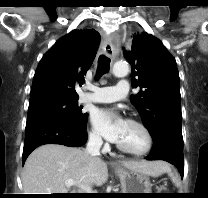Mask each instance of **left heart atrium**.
<instances>
[{"label": "left heart atrium", "instance_id": "obj_1", "mask_svg": "<svg viewBox=\"0 0 208 198\" xmlns=\"http://www.w3.org/2000/svg\"><path fill=\"white\" fill-rule=\"evenodd\" d=\"M95 129L111 142H117L121 136L126 121L116 112L106 109H97L91 116Z\"/></svg>", "mask_w": 208, "mask_h": 198}]
</instances>
